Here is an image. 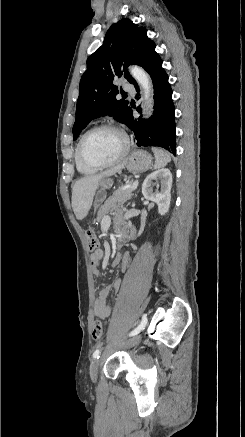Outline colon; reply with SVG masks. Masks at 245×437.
Masks as SVG:
<instances>
[{
	"mask_svg": "<svg viewBox=\"0 0 245 437\" xmlns=\"http://www.w3.org/2000/svg\"><path fill=\"white\" fill-rule=\"evenodd\" d=\"M87 247L90 251H94L98 247V239L93 228L89 227L85 230ZM93 339L99 342L103 338V326L100 321H96L92 330Z\"/></svg>",
	"mask_w": 245,
	"mask_h": 437,
	"instance_id": "5ec220e1",
	"label": "colon"
}]
</instances>
